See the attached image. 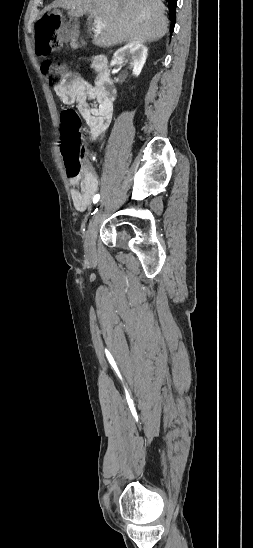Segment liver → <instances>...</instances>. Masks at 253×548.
<instances>
[{"instance_id": "obj_1", "label": "liver", "mask_w": 253, "mask_h": 548, "mask_svg": "<svg viewBox=\"0 0 253 548\" xmlns=\"http://www.w3.org/2000/svg\"><path fill=\"white\" fill-rule=\"evenodd\" d=\"M60 8L74 18L85 13L102 17L104 27L93 40L99 47L153 42L168 31L161 0H55L49 7L52 14L62 16Z\"/></svg>"}]
</instances>
